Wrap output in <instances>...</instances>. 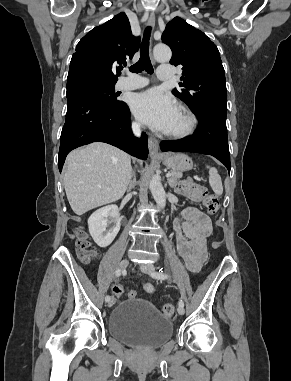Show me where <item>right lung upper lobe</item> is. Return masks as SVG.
<instances>
[{
	"instance_id": "1",
	"label": "right lung upper lobe",
	"mask_w": 291,
	"mask_h": 381,
	"mask_svg": "<svg viewBox=\"0 0 291 381\" xmlns=\"http://www.w3.org/2000/svg\"><path fill=\"white\" fill-rule=\"evenodd\" d=\"M139 45L140 37L132 35L126 14L119 13L79 41L71 58L67 80L82 77L116 83L120 74L117 65L132 59Z\"/></svg>"
}]
</instances>
